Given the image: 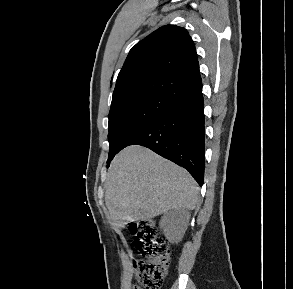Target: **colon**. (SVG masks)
<instances>
[{
  "label": "colon",
  "instance_id": "5ec220e1",
  "mask_svg": "<svg viewBox=\"0 0 293 289\" xmlns=\"http://www.w3.org/2000/svg\"><path fill=\"white\" fill-rule=\"evenodd\" d=\"M134 247L142 258L136 261L138 286L135 289H161L171 262L166 242L158 235L150 221L132 223Z\"/></svg>",
  "mask_w": 293,
  "mask_h": 289
}]
</instances>
